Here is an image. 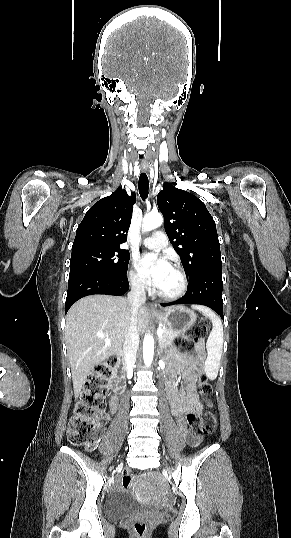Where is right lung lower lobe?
Instances as JSON below:
<instances>
[{
	"label": "right lung lower lobe",
	"mask_w": 291,
	"mask_h": 538,
	"mask_svg": "<svg viewBox=\"0 0 291 538\" xmlns=\"http://www.w3.org/2000/svg\"><path fill=\"white\" fill-rule=\"evenodd\" d=\"M129 289L126 275L83 272L69 276L65 312L80 298L93 294L121 296Z\"/></svg>",
	"instance_id": "obj_1"
}]
</instances>
